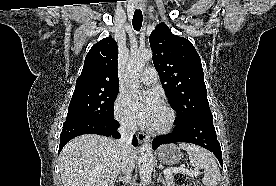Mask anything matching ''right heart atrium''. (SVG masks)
I'll return each mask as SVG.
<instances>
[{
    "label": "right heart atrium",
    "mask_w": 276,
    "mask_h": 186,
    "mask_svg": "<svg viewBox=\"0 0 276 186\" xmlns=\"http://www.w3.org/2000/svg\"><path fill=\"white\" fill-rule=\"evenodd\" d=\"M114 116L120 125L132 130L135 128V122L127 109V97L125 94H119L114 104Z\"/></svg>",
    "instance_id": "right-heart-atrium-1"
}]
</instances>
